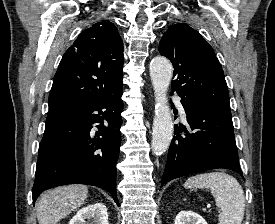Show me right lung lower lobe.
I'll return each mask as SVG.
<instances>
[{"mask_svg": "<svg viewBox=\"0 0 275 224\" xmlns=\"http://www.w3.org/2000/svg\"><path fill=\"white\" fill-rule=\"evenodd\" d=\"M123 89L91 103L51 110L39 145L33 201L44 191L86 184L116 194ZM106 120L108 126L103 125ZM99 131H94V124Z\"/></svg>", "mask_w": 275, "mask_h": 224, "instance_id": "1", "label": "right lung lower lobe"}]
</instances>
